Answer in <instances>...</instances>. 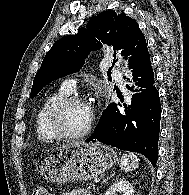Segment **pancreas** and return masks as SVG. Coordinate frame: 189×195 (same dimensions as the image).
<instances>
[{"label":"pancreas","mask_w":189,"mask_h":195,"mask_svg":"<svg viewBox=\"0 0 189 195\" xmlns=\"http://www.w3.org/2000/svg\"><path fill=\"white\" fill-rule=\"evenodd\" d=\"M91 186H92L93 188L95 187V185L90 184V186H89V187H91Z\"/></svg>","instance_id":"obj_1"}]
</instances>
